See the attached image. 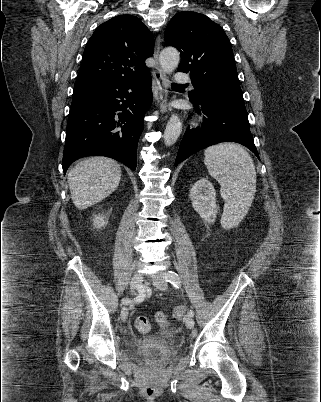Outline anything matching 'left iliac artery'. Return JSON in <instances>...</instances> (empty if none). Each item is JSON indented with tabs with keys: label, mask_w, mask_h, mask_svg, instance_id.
Wrapping results in <instances>:
<instances>
[{
	"label": "left iliac artery",
	"mask_w": 321,
	"mask_h": 402,
	"mask_svg": "<svg viewBox=\"0 0 321 402\" xmlns=\"http://www.w3.org/2000/svg\"><path fill=\"white\" fill-rule=\"evenodd\" d=\"M165 279L167 282L171 283L175 288H179L181 286L180 277L174 271H168L167 273H165ZM187 316L193 317L194 312L190 310Z\"/></svg>",
	"instance_id": "obj_1"
}]
</instances>
